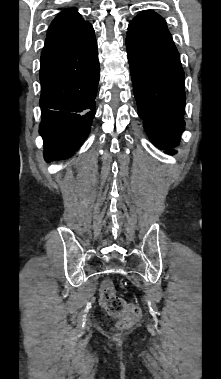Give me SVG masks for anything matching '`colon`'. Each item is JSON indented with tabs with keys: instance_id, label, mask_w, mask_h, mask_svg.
Here are the masks:
<instances>
[{
	"instance_id": "5ec220e1",
	"label": "colon",
	"mask_w": 221,
	"mask_h": 379,
	"mask_svg": "<svg viewBox=\"0 0 221 379\" xmlns=\"http://www.w3.org/2000/svg\"><path fill=\"white\" fill-rule=\"evenodd\" d=\"M100 304L106 312L113 317H121L117 327L128 329L141 317L138 306L127 303L116 294L112 281L105 280L100 288Z\"/></svg>"
}]
</instances>
